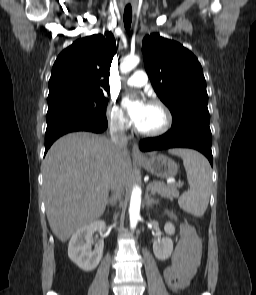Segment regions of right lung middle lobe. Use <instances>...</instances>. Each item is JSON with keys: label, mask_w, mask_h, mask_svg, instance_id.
Instances as JSON below:
<instances>
[{"label": "right lung middle lobe", "mask_w": 256, "mask_h": 295, "mask_svg": "<svg viewBox=\"0 0 256 295\" xmlns=\"http://www.w3.org/2000/svg\"><path fill=\"white\" fill-rule=\"evenodd\" d=\"M108 100L99 95L69 94L48 101L47 115L58 112L105 115Z\"/></svg>", "instance_id": "obj_1"}]
</instances>
